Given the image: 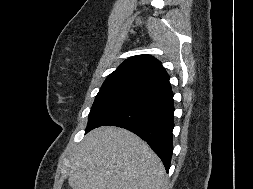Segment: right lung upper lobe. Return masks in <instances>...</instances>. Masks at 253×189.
Returning a JSON list of instances; mask_svg holds the SVG:
<instances>
[{
    "instance_id": "right-lung-upper-lobe-1",
    "label": "right lung upper lobe",
    "mask_w": 253,
    "mask_h": 189,
    "mask_svg": "<svg viewBox=\"0 0 253 189\" xmlns=\"http://www.w3.org/2000/svg\"><path fill=\"white\" fill-rule=\"evenodd\" d=\"M170 85L161 62L150 55L126 59L105 80L101 88L128 87L151 92Z\"/></svg>"
}]
</instances>
